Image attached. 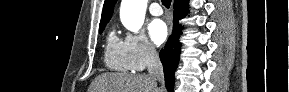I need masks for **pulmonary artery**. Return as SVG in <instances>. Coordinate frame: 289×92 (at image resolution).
Listing matches in <instances>:
<instances>
[{
  "mask_svg": "<svg viewBox=\"0 0 289 92\" xmlns=\"http://www.w3.org/2000/svg\"><path fill=\"white\" fill-rule=\"evenodd\" d=\"M149 11L154 16H160L163 13L161 6L157 2L151 3L149 6Z\"/></svg>",
  "mask_w": 289,
  "mask_h": 92,
  "instance_id": "e3ab8cb5",
  "label": "pulmonary artery"
}]
</instances>
